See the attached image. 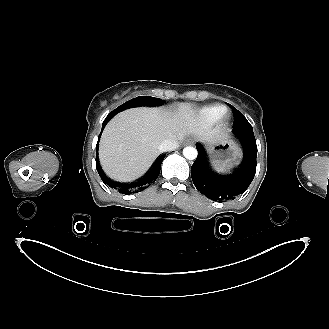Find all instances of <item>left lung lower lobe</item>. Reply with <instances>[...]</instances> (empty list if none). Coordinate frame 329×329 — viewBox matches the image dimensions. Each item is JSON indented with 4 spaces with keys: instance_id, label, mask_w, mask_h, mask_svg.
<instances>
[{
    "instance_id": "left-lung-lower-lobe-1",
    "label": "left lung lower lobe",
    "mask_w": 329,
    "mask_h": 329,
    "mask_svg": "<svg viewBox=\"0 0 329 329\" xmlns=\"http://www.w3.org/2000/svg\"><path fill=\"white\" fill-rule=\"evenodd\" d=\"M234 136L244 150L242 165L230 175H216L207 164L205 153L197 148L198 156L191 167V177L200 193L214 201L233 200L246 191L256 172L257 145L251 125L235 127Z\"/></svg>"
}]
</instances>
